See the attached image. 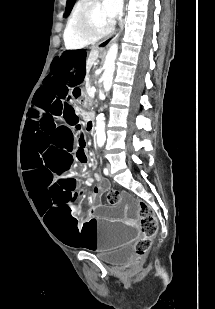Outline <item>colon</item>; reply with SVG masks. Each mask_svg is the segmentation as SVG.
<instances>
[{
	"label": "colon",
	"instance_id": "colon-1",
	"mask_svg": "<svg viewBox=\"0 0 215 309\" xmlns=\"http://www.w3.org/2000/svg\"><path fill=\"white\" fill-rule=\"evenodd\" d=\"M107 202L111 205H116L119 202V193L115 190L108 192ZM141 227L143 231V236L138 239L134 244V255L136 257H141L146 254L150 248L151 238L157 232V222L152 214L150 207H142L140 210Z\"/></svg>",
	"mask_w": 215,
	"mask_h": 309
}]
</instances>
